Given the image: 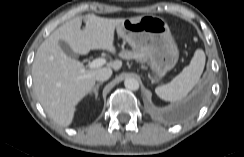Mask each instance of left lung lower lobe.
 <instances>
[{"instance_id": "0a47b994", "label": "left lung lower lobe", "mask_w": 244, "mask_h": 157, "mask_svg": "<svg viewBox=\"0 0 244 157\" xmlns=\"http://www.w3.org/2000/svg\"><path fill=\"white\" fill-rule=\"evenodd\" d=\"M201 96L200 95H194L191 98H189L183 105L181 106L179 110V114L181 116H187L194 112L199 104H200Z\"/></svg>"}]
</instances>
